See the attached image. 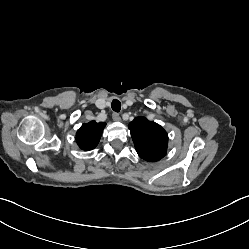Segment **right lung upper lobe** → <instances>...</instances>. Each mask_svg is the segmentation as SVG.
I'll use <instances>...</instances> for the list:
<instances>
[{
	"label": "right lung upper lobe",
	"mask_w": 249,
	"mask_h": 249,
	"mask_svg": "<svg viewBox=\"0 0 249 249\" xmlns=\"http://www.w3.org/2000/svg\"><path fill=\"white\" fill-rule=\"evenodd\" d=\"M105 125L103 122L97 123L95 121L83 124L76 134L78 146L83 150H92L95 148L101 138Z\"/></svg>",
	"instance_id": "1"
}]
</instances>
